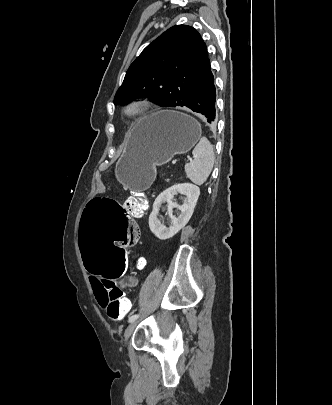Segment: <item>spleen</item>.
<instances>
[{
	"instance_id": "3e777b00",
	"label": "spleen",
	"mask_w": 332,
	"mask_h": 405,
	"mask_svg": "<svg viewBox=\"0 0 332 405\" xmlns=\"http://www.w3.org/2000/svg\"><path fill=\"white\" fill-rule=\"evenodd\" d=\"M194 160L185 165L187 178L197 185H202L209 177L215 160L214 149L206 137H202L192 151Z\"/></svg>"
}]
</instances>
